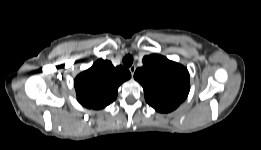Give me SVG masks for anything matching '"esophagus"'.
I'll use <instances>...</instances> for the list:
<instances>
[{
	"label": "esophagus",
	"instance_id": "esophagus-1",
	"mask_svg": "<svg viewBox=\"0 0 261 150\" xmlns=\"http://www.w3.org/2000/svg\"><path fill=\"white\" fill-rule=\"evenodd\" d=\"M135 70H136V66H135V65H132V66L129 68V71H130V73H131L132 76L134 75Z\"/></svg>",
	"mask_w": 261,
	"mask_h": 150
}]
</instances>
